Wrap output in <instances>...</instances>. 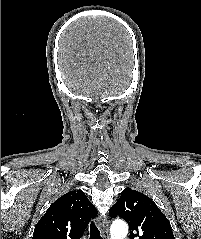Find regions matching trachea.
Wrapping results in <instances>:
<instances>
[{
  "mask_svg": "<svg viewBox=\"0 0 201 239\" xmlns=\"http://www.w3.org/2000/svg\"><path fill=\"white\" fill-rule=\"evenodd\" d=\"M90 239H102L100 231L94 222L90 225Z\"/></svg>",
  "mask_w": 201,
  "mask_h": 239,
  "instance_id": "3493384b",
  "label": "trachea"
}]
</instances>
